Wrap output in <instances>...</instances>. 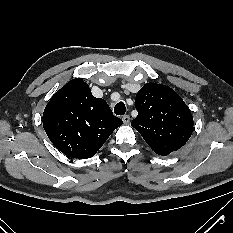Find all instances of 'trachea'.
I'll return each mask as SVG.
<instances>
[{
	"instance_id": "1",
	"label": "trachea",
	"mask_w": 233,
	"mask_h": 233,
	"mask_svg": "<svg viewBox=\"0 0 233 233\" xmlns=\"http://www.w3.org/2000/svg\"><path fill=\"white\" fill-rule=\"evenodd\" d=\"M126 112L125 104L123 102H119L114 107V113L116 115H124Z\"/></svg>"
}]
</instances>
